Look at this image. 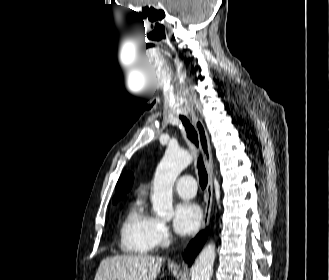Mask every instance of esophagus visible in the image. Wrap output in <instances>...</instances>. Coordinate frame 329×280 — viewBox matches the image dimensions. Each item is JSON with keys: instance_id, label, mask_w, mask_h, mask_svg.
<instances>
[{"instance_id": "obj_1", "label": "esophagus", "mask_w": 329, "mask_h": 280, "mask_svg": "<svg viewBox=\"0 0 329 280\" xmlns=\"http://www.w3.org/2000/svg\"><path fill=\"white\" fill-rule=\"evenodd\" d=\"M191 118L198 134L200 147L204 157V163L208 172V184L205 192V209L201 226L202 229H205L210 220L213 200V158L209 136L202 119L196 116L194 113L191 114Z\"/></svg>"}]
</instances>
